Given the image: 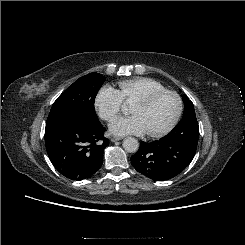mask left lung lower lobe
<instances>
[{"instance_id":"1","label":"left lung lower lobe","mask_w":245,"mask_h":245,"mask_svg":"<svg viewBox=\"0 0 245 245\" xmlns=\"http://www.w3.org/2000/svg\"><path fill=\"white\" fill-rule=\"evenodd\" d=\"M197 144L170 141L165 137L151 143L141 142L131 157L133 167L139 173L155 181L171 179L181 173L192 161Z\"/></svg>"}]
</instances>
